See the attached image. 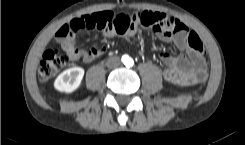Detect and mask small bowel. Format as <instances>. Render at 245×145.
<instances>
[{
	"mask_svg": "<svg viewBox=\"0 0 245 145\" xmlns=\"http://www.w3.org/2000/svg\"><path fill=\"white\" fill-rule=\"evenodd\" d=\"M139 12V11H138ZM136 12V14L138 13ZM150 13L160 12L147 11ZM135 14V15H136ZM96 15V14H92ZM109 19H114L118 14L113 12L104 13ZM90 15H84L78 17L81 29L78 33L72 34L70 37L61 39V45L68 58L72 62L80 61L83 64L92 62L95 58L103 54L104 46L93 45L90 49L79 50L77 48V37L81 35L86 27L87 17ZM97 29V28H91ZM104 35H112L113 31L105 30L102 31ZM154 34L157 39L173 43L182 53L178 56H171L167 52L160 54L161 60L165 67L163 69L164 78L171 83L180 85H195L203 82L207 78V64L204 56L197 50L190 47L188 44L186 35L173 34L165 27L155 28Z\"/></svg>",
	"mask_w": 245,
	"mask_h": 145,
	"instance_id": "small-bowel-1",
	"label": "small bowel"
}]
</instances>
